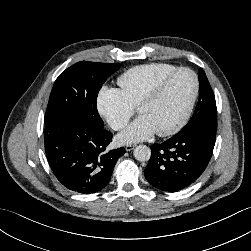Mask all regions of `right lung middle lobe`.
I'll return each instance as SVG.
<instances>
[{"label":"right lung middle lobe","mask_w":251,"mask_h":251,"mask_svg":"<svg viewBox=\"0 0 251 251\" xmlns=\"http://www.w3.org/2000/svg\"><path fill=\"white\" fill-rule=\"evenodd\" d=\"M120 66L81 61L67 68L53 85L44 118L45 125L75 117L103 128L96 106L98 92L106 79Z\"/></svg>","instance_id":"1"}]
</instances>
